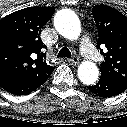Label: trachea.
Here are the masks:
<instances>
[{
  "label": "trachea",
  "instance_id": "3493384b",
  "mask_svg": "<svg viewBox=\"0 0 127 127\" xmlns=\"http://www.w3.org/2000/svg\"><path fill=\"white\" fill-rule=\"evenodd\" d=\"M57 57H58V58H59V57L71 58V52L69 51L68 48L63 47V48L59 51Z\"/></svg>",
  "mask_w": 127,
  "mask_h": 127
}]
</instances>
